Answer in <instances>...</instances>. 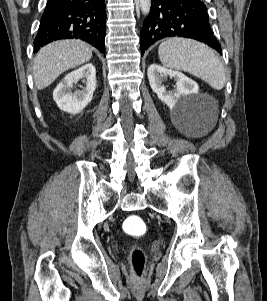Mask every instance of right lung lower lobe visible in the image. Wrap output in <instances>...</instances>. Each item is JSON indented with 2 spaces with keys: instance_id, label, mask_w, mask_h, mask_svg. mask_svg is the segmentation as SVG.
<instances>
[{
  "instance_id": "98d812e1",
  "label": "right lung lower lobe",
  "mask_w": 267,
  "mask_h": 301,
  "mask_svg": "<svg viewBox=\"0 0 267 301\" xmlns=\"http://www.w3.org/2000/svg\"><path fill=\"white\" fill-rule=\"evenodd\" d=\"M104 0H49L34 40L35 51L59 39H82L105 53Z\"/></svg>"
}]
</instances>
